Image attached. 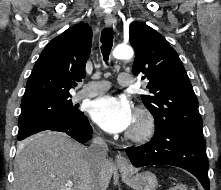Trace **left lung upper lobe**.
<instances>
[{"mask_svg":"<svg viewBox=\"0 0 221 190\" xmlns=\"http://www.w3.org/2000/svg\"><path fill=\"white\" fill-rule=\"evenodd\" d=\"M135 48L132 73L149 80L151 95H141L155 125L168 124L203 138L198 100L184 66L166 39L151 27L132 22L129 30Z\"/></svg>","mask_w":221,"mask_h":190,"instance_id":"5c2ea615","label":"left lung upper lobe"}]
</instances>
